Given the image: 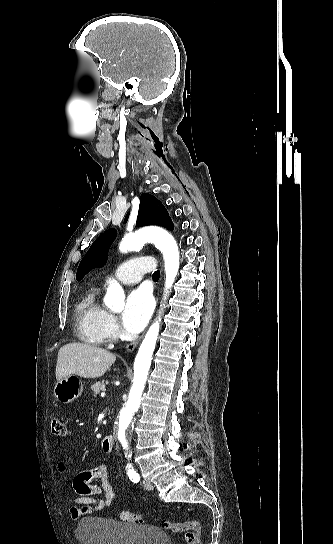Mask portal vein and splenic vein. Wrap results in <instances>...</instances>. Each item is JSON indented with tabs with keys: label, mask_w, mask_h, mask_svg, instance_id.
<instances>
[{
	"label": "portal vein and splenic vein",
	"mask_w": 333,
	"mask_h": 544,
	"mask_svg": "<svg viewBox=\"0 0 333 544\" xmlns=\"http://www.w3.org/2000/svg\"><path fill=\"white\" fill-rule=\"evenodd\" d=\"M105 395H106V394H105L104 392L101 393V397H105Z\"/></svg>",
	"instance_id": "obj_1"
}]
</instances>
